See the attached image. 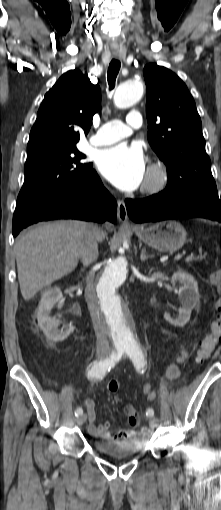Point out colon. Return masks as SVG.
I'll return each instance as SVG.
<instances>
[{"instance_id": "1", "label": "colon", "mask_w": 221, "mask_h": 510, "mask_svg": "<svg viewBox=\"0 0 221 510\" xmlns=\"http://www.w3.org/2000/svg\"><path fill=\"white\" fill-rule=\"evenodd\" d=\"M212 282L221 290V272L212 276ZM221 311V310H220ZM221 342V314L220 317L213 323L211 331L206 334L199 342L197 350V361H205L216 348L217 344ZM119 390V383L112 380L108 383V391L116 393ZM119 401V398H116ZM126 413H130L126 410Z\"/></svg>"}]
</instances>
